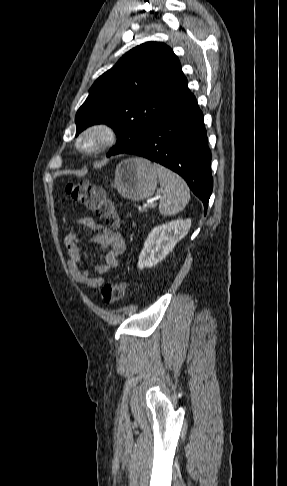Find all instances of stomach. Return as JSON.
<instances>
[{"label": "stomach", "instance_id": "obj_1", "mask_svg": "<svg viewBox=\"0 0 287 486\" xmlns=\"http://www.w3.org/2000/svg\"><path fill=\"white\" fill-rule=\"evenodd\" d=\"M157 182L158 173L154 165L144 158L132 157L117 165L112 186L122 197L139 201L154 194Z\"/></svg>", "mask_w": 287, "mask_h": 486}]
</instances>
